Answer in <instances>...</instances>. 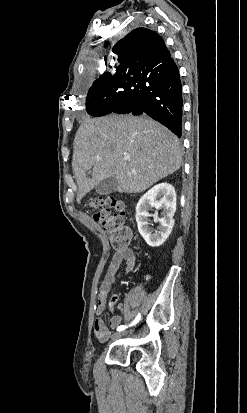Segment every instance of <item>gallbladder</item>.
I'll list each match as a JSON object with an SVG mask.
<instances>
[{"mask_svg": "<svg viewBox=\"0 0 247 413\" xmlns=\"http://www.w3.org/2000/svg\"><path fill=\"white\" fill-rule=\"evenodd\" d=\"M118 182L116 176H107V178H103L100 180L98 184H96V192L99 194H110V192H115L117 190Z\"/></svg>", "mask_w": 247, "mask_h": 413, "instance_id": "1", "label": "gallbladder"}]
</instances>
